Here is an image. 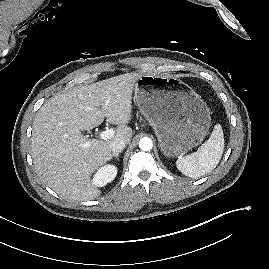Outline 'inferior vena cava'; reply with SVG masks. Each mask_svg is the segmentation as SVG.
Listing matches in <instances>:
<instances>
[{"label": "inferior vena cava", "instance_id": "inferior-vena-cava-1", "mask_svg": "<svg viewBox=\"0 0 269 269\" xmlns=\"http://www.w3.org/2000/svg\"><path fill=\"white\" fill-rule=\"evenodd\" d=\"M126 142L123 139H116L110 144L113 153L120 152L125 148Z\"/></svg>", "mask_w": 269, "mask_h": 269}]
</instances>
